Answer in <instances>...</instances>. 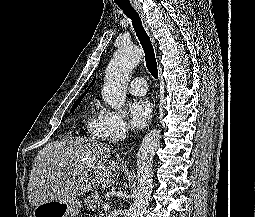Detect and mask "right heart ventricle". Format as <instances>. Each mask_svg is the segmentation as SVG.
<instances>
[{
	"label": "right heart ventricle",
	"instance_id": "right-heart-ventricle-1",
	"mask_svg": "<svg viewBox=\"0 0 255 217\" xmlns=\"http://www.w3.org/2000/svg\"><path fill=\"white\" fill-rule=\"evenodd\" d=\"M96 119L92 115H88L84 120V126L86 127L87 131L94 136H97L94 132Z\"/></svg>",
	"mask_w": 255,
	"mask_h": 217
}]
</instances>
